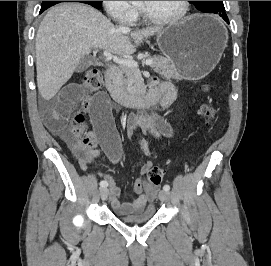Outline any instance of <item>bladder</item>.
<instances>
[{"instance_id": "1", "label": "bladder", "mask_w": 271, "mask_h": 266, "mask_svg": "<svg viewBox=\"0 0 271 266\" xmlns=\"http://www.w3.org/2000/svg\"><path fill=\"white\" fill-rule=\"evenodd\" d=\"M154 216H155L154 207H149L136 215L131 216L116 215L117 219L127 224H144L153 219Z\"/></svg>"}]
</instances>
